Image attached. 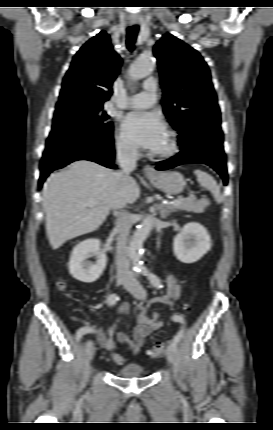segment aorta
I'll list each match as a JSON object with an SVG mask.
<instances>
[{
	"mask_svg": "<svg viewBox=\"0 0 273 430\" xmlns=\"http://www.w3.org/2000/svg\"><path fill=\"white\" fill-rule=\"evenodd\" d=\"M154 66V61L150 56L140 57L132 64L130 68V76L135 80L143 79L153 72ZM152 226V218L148 217L144 219L134 232L132 240L128 246L127 254L136 271L145 269L143 262L141 261L143 243L151 232Z\"/></svg>",
	"mask_w": 273,
	"mask_h": 430,
	"instance_id": "aorta-1",
	"label": "aorta"
}]
</instances>
